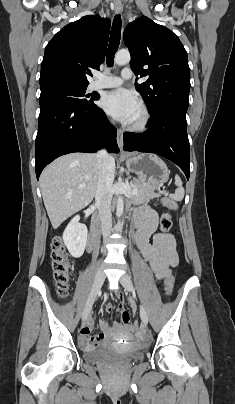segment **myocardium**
I'll return each mask as SVG.
<instances>
[{
    "label": "myocardium",
    "mask_w": 235,
    "mask_h": 404,
    "mask_svg": "<svg viewBox=\"0 0 235 404\" xmlns=\"http://www.w3.org/2000/svg\"><path fill=\"white\" fill-rule=\"evenodd\" d=\"M150 123V113L145 106L140 107L139 116L136 120H133L128 128L134 132H143L145 131Z\"/></svg>",
    "instance_id": "1"
}]
</instances>
